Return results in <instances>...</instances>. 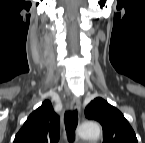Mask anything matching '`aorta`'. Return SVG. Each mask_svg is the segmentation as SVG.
Instances as JSON below:
<instances>
[{"instance_id": "obj_1", "label": "aorta", "mask_w": 145, "mask_h": 143, "mask_svg": "<svg viewBox=\"0 0 145 143\" xmlns=\"http://www.w3.org/2000/svg\"><path fill=\"white\" fill-rule=\"evenodd\" d=\"M100 134V126L94 121H85L79 129V136L83 139H95L99 137Z\"/></svg>"}]
</instances>
